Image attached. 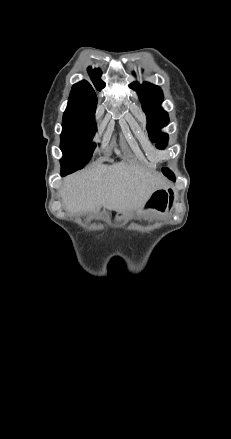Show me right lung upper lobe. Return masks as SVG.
Listing matches in <instances>:
<instances>
[{"mask_svg":"<svg viewBox=\"0 0 231 439\" xmlns=\"http://www.w3.org/2000/svg\"><path fill=\"white\" fill-rule=\"evenodd\" d=\"M88 73L95 88L101 91L105 87V83L100 79L101 70L88 68ZM96 105L97 96L95 90L89 82L84 80L73 85L65 113L95 112Z\"/></svg>","mask_w":231,"mask_h":439,"instance_id":"right-lung-upper-lobe-1","label":"right lung upper lobe"}]
</instances>
